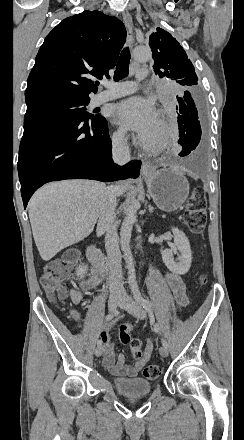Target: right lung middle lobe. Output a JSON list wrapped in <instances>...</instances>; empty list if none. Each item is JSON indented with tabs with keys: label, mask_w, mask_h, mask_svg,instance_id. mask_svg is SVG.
Wrapping results in <instances>:
<instances>
[{
	"label": "right lung middle lobe",
	"mask_w": 244,
	"mask_h": 440,
	"mask_svg": "<svg viewBox=\"0 0 244 440\" xmlns=\"http://www.w3.org/2000/svg\"><path fill=\"white\" fill-rule=\"evenodd\" d=\"M25 100L27 104V109L34 107L52 108L77 117L89 119L88 112H86V106L90 102V98L40 96Z\"/></svg>",
	"instance_id": "1"
}]
</instances>
